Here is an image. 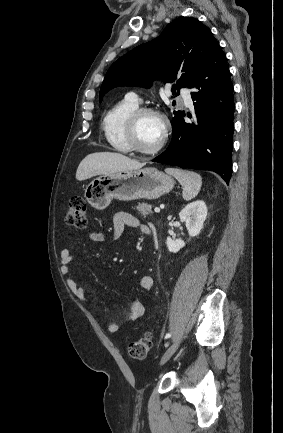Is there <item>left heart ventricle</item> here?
I'll list each match as a JSON object with an SVG mask.
<instances>
[{
    "label": "left heart ventricle",
    "mask_w": 283,
    "mask_h": 433,
    "mask_svg": "<svg viewBox=\"0 0 283 433\" xmlns=\"http://www.w3.org/2000/svg\"><path fill=\"white\" fill-rule=\"evenodd\" d=\"M163 131L162 121L155 115L147 114L138 125L137 139L140 146L148 151L156 149Z\"/></svg>",
    "instance_id": "1"
}]
</instances>
